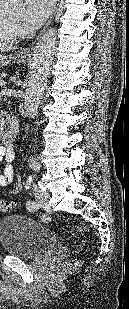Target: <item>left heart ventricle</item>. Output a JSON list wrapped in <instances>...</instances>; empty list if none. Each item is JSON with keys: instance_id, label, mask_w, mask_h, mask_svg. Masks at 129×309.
Returning <instances> with one entry per match:
<instances>
[{"instance_id": "1", "label": "left heart ventricle", "mask_w": 129, "mask_h": 309, "mask_svg": "<svg viewBox=\"0 0 129 309\" xmlns=\"http://www.w3.org/2000/svg\"><path fill=\"white\" fill-rule=\"evenodd\" d=\"M11 19H12V21H14L17 24L20 22V17L19 16L13 17Z\"/></svg>"}]
</instances>
